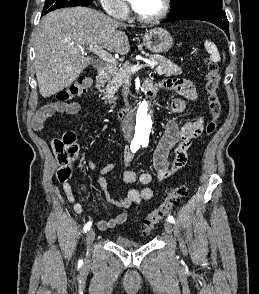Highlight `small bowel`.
Returning <instances> with one entry per match:
<instances>
[{
    "label": "small bowel",
    "mask_w": 259,
    "mask_h": 294,
    "mask_svg": "<svg viewBox=\"0 0 259 294\" xmlns=\"http://www.w3.org/2000/svg\"><path fill=\"white\" fill-rule=\"evenodd\" d=\"M153 94L160 95L164 91L173 90L178 92L182 98L174 100L168 108V117L164 125V134L160 138L153 156L155 168V180L161 185L169 176L183 168L187 163L188 150L193 139L199 137L204 129V118L198 117L194 121L187 122L179 126L173 119L172 115L182 112L189 101L195 100L197 92L193 84L187 80L165 79L153 86ZM80 105L77 102L56 101L49 103L39 109L34 115L31 126L34 131H41L46 120L55 114L73 115L78 113ZM176 154L173 160L169 158L171 149L176 146ZM131 149L124 151L123 159L126 166H129L133 160ZM89 168L94 170L96 164L88 162ZM115 164H108L101 168L100 176L97 180L99 189L106 194L108 201L119 208L115 217L99 220L97 226L100 230L105 231L124 224L129 219L128 209L133 204H140L143 201H149L154 197V191L149 187L153 181V175L149 172L137 174L134 170H126L123 173L125 184L139 182L143 188L138 190L130 188L125 197L116 200L107 193V175L115 170ZM82 190L86 192V186L82 185ZM63 191L68 201L73 204L74 211L78 214L82 212V205L77 201L71 185L68 182L63 183Z\"/></svg>",
    "instance_id": "small-bowel-1"
}]
</instances>
